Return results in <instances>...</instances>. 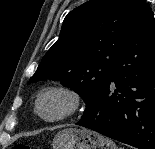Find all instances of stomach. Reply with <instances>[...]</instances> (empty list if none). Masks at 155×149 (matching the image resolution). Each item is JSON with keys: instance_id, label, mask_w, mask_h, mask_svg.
I'll list each match as a JSON object with an SVG mask.
<instances>
[{"instance_id": "1", "label": "stomach", "mask_w": 155, "mask_h": 149, "mask_svg": "<svg viewBox=\"0 0 155 149\" xmlns=\"http://www.w3.org/2000/svg\"><path fill=\"white\" fill-rule=\"evenodd\" d=\"M52 146L53 149H117L111 139L89 129L77 128L60 130Z\"/></svg>"}]
</instances>
